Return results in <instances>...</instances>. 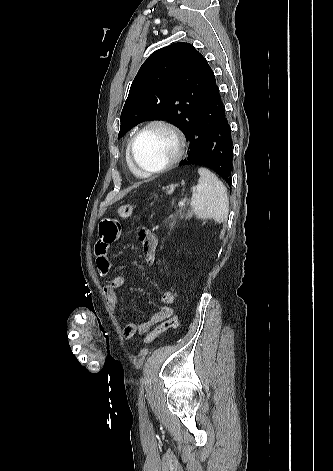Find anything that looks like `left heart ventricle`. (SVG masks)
<instances>
[{
    "instance_id": "b2bd125f",
    "label": "left heart ventricle",
    "mask_w": 333,
    "mask_h": 471,
    "mask_svg": "<svg viewBox=\"0 0 333 471\" xmlns=\"http://www.w3.org/2000/svg\"><path fill=\"white\" fill-rule=\"evenodd\" d=\"M176 152L174 136L162 127L144 132L135 146V159L145 169H156L167 163Z\"/></svg>"
}]
</instances>
